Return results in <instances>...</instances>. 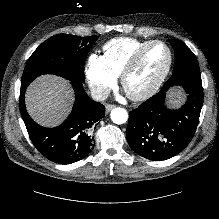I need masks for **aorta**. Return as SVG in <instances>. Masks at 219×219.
<instances>
[{
	"label": "aorta",
	"mask_w": 219,
	"mask_h": 219,
	"mask_svg": "<svg viewBox=\"0 0 219 219\" xmlns=\"http://www.w3.org/2000/svg\"><path fill=\"white\" fill-rule=\"evenodd\" d=\"M110 117L113 123L115 124H123L127 121L128 119V113L125 109L123 108H114L111 113Z\"/></svg>",
	"instance_id": "1"
}]
</instances>
